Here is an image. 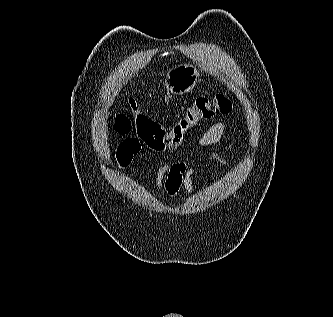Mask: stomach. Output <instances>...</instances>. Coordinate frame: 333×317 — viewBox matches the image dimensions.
I'll use <instances>...</instances> for the list:
<instances>
[{"label":"stomach","instance_id":"0dacf381","mask_svg":"<svg viewBox=\"0 0 333 317\" xmlns=\"http://www.w3.org/2000/svg\"><path fill=\"white\" fill-rule=\"evenodd\" d=\"M197 79V69L192 65L182 64L168 73L165 87L171 94L183 95L195 87Z\"/></svg>","mask_w":333,"mask_h":317}]
</instances>
